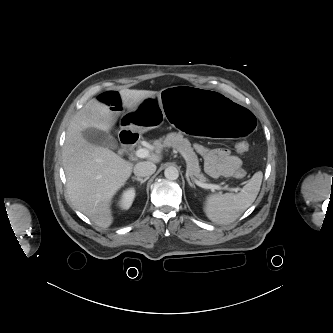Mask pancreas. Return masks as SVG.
<instances>
[{
    "mask_svg": "<svg viewBox=\"0 0 333 333\" xmlns=\"http://www.w3.org/2000/svg\"><path fill=\"white\" fill-rule=\"evenodd\" d=\"M156 148L173 147L180 152L186 160L187 174L197 178L201 182L206 181V177L201 173L199 161L196 153L191 147V143L180 133H169L164 139L154 142Z\"/></svg>",
    "mask_w": 333,
    "mask_h": 333,
    "instance_id": "pancreas-1",
    "label": "pancreas"
}]
</instances>
